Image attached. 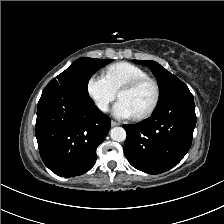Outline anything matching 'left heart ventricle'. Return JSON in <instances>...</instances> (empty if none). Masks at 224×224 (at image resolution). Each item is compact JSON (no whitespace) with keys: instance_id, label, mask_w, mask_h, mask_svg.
<instances>
[{"instance_id":"1","label":"left heart ventricle","mask_w":224,"mask_h":224,"mask_svg":"<svg viewBox=\"0 0 224 224\" xmlns=\"http://www.w3.org/2000/svg\"><path fill=\"white\" fill-rule=\"evenodd\" d=\"M153 96V87L145 83L134 90L121 92L118 98L125 101L137 115L149 106Z\"/></svg>"}]
</instances>
